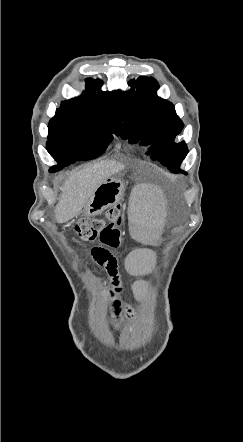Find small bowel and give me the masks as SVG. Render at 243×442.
I'll list each match as a JSON object with an SVG mask.
<instances>
[{"mask_svg":"<svg viewBox=\"0 0 243 442\" xmlns=\"http://www.w3.org/2000/svg\"><path fill=\"white\" fill-rule=\"evenodd\" d=\"M92 254H93V252H92ZM95 261L99 265L103 266L106 269L108 275L111 278L113 287L115 289L119 290L120 289L119 271H118L119 270V265H118V262H117L116 258L114 257L112 260H110L107 263H103V262L98 261L96 259H95ZM128 312H130V311L128 310Z\"/></svg>","mask_w":243,"mask_h":442,"instance_id":"1","label":"small bowel"}]
</instances>
